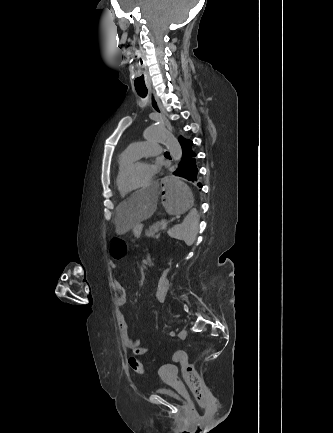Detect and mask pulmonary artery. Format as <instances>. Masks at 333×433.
Instances as JSON below:
<instances>
[{"instance_id":"obj_1","label":"pulmonary artery","mask_w":333,"mask_h":433,"mask_svg":"<svg viewBox=\"0 0 333 433\" xmlns=\"http://www.w3.org/2000/svg\"><path fill=\"white\" fill-rule=\"evenodd\" d=\"M127 149L137 158L142 156L159 155L164 151L162 145L152 140L132 143Z\"/></svg>"}]
</instances>
